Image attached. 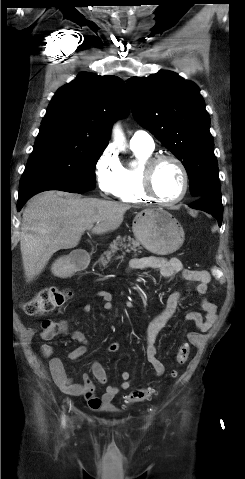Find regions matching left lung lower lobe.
Segmentation results:
<instances>
[{
	"instance_id": "left-lung-lower-lobe-1",
	"label": "left lung lower lobe",
	"mask_w": 245,
	"mask_h": 479,
	"mask_svg": "<svg viewBox=\"0 0 245 479\" xmlns=\"http://www.w3.org/2000/svg\"><path fill=\"white\" fill-rule=\"evenodd\" d=\"M189 206L193 209L202 210L209 214H212V216L217 219L219 226H221L223 206L221 201L220 188L205 194Z\"/></svg>"
}]
</instances>
